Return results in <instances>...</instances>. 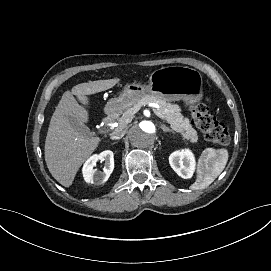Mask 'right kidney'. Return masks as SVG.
<instances>
[{"label": "right kidney", "instance_id": "1", "mask_svg": "<svg viewBox=\"0 0 271 271\" xmlns=\"http://www.w3.org/2000/svg\"><path fill=\"white\" fill-rule=\"evenodd\" d=\"M104 161L103 172L94 170L98 161ZM114 169V157L112 151H103L98 155L92 156L83 167V178L85 181L95 185L105 183Z\"/></svg>", "mask_w": 271, "mask_h": 271}]
</instances>
